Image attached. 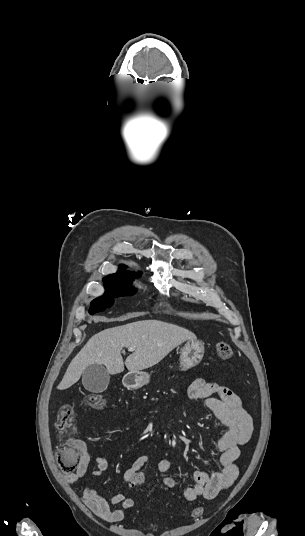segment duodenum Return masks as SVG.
Listing matches in <instances>:
<instances>
[{
	"instance_id": "obj_1",
	"label": "duodenum",
	"mask_w": 305,
	"mask_h": 536,
	"mask_svg": "<svg viewBox=\"0 0 305 536\" xmlns=\"http://www.w3.org/2000/svg\"><path fill=\"white\" fill-rule=\"evenodd\" d=\"M135 384H136V379L134 378L128 381V385L130 386H135Z\"/></svg>"
}]
</instances>
